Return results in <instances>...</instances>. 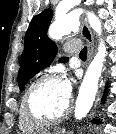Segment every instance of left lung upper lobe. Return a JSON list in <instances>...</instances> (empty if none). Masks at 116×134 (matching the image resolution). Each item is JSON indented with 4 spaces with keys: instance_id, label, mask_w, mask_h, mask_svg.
<instances>
[{
    "instance_id": "obj_1",
    "label": "left lung upper lobe",
    "mask_w": 116,
    "mask_h": 134,
    "mask_svg": "<svg viewBox=\"0 0 116 134\" xmlns=\"http://www.w3.org/2000/svg\"><path fill=\"white\" fill-rule=\"evenodd\" d=\"M53 12L46 9L36 15L30 22L25 35V48L21 55L20 70L18 72L19 88L22 90L26 83L40 70L48 66L57 54V46L47 36ZM62 57L59 62H67Z\"/></svg>"
}]
</instances>
